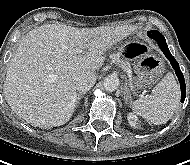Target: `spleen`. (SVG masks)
Returning a JSON list of instances; mask_svg holds the SVG:
<instances>
[{
  "mask_svg": "<svg viewBox=\"0 0 190 165\" xmlns=\"http://www.w3.org/2000/svg\"><path fill=\"white\" fill-rule=\"evenodd\" d=\"M180 101V88L172 73L154 87L147 98L132 103V110L152 124H164L171 119Z\"/></svg>",
  "mask_w": 190,
  "mask_h": 165,
  "instance_id": "spleen-1",
  "label": "spleen"
}]
</instances>
